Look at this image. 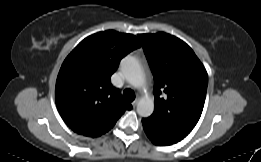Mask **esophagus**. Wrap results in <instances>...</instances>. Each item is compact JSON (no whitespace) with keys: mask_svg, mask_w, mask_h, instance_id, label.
<instances>
[{"mask_svg":"<svg viewBox=\"0 0 261 162\" xmlns=\"http://www.w3.org/2000/svg\"><path fill=\"white\" fill-rule=\"evenodd\" d=\"M137 104H138V100H135V101L132 102V106H133L134 108L137 106Z\"/></svg>","mask_w":261,"mask_h":162,"instance_id":"1","label":"esophagus"}]
</instances>
